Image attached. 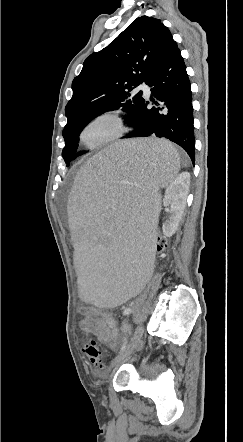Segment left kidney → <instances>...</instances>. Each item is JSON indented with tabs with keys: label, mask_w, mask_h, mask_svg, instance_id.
I'll return each mask as SVG.
<instances>
[{
	"label": "left kidney",
	"mask_w": 243,
	"mask_h": 442,
	"mask_svg": "<svg viewBox=\"0 0 243 442\" xmlns=\"http://www.w3.org/2000/svg\"><path fill=\"white\" fill-rule=\"evenodd\" d=\"M190 184V174L183 172L169 185L163 199L164 206H170L169 220L163 224L165 235L171 237L177 230L184 213Z\"/></svg>",
	"instance_id": "1"
}]
</instances>
